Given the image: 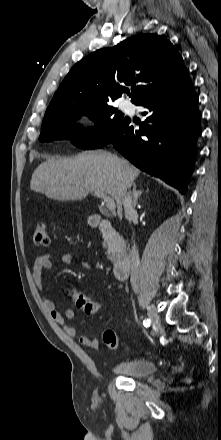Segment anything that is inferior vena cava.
<instances>
[{"label":"inferior vena cava","mask_w":221,"mask_h":440,"mask_svg":"<svg viewBox=\"0 0 221 440\" xmlns=\"http://www.w3.org/2000/svg\"><path fill=\"white\" fill-rule=\"evenodd\" d=\"M123 206H124V214L125 218L131 222L134 217L136 216V210L135 206L132 202V196L130 192H127V190L124 193L123 196ZM133 250V258H132V267H131V285L134 289L138 288V284L140 281V259L139 254L136 245L134 244L132 247Z\"/></svg>","instance_id":"inferior-vena-cava-1"}]
</instances>
